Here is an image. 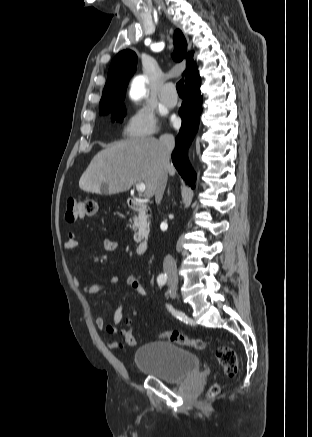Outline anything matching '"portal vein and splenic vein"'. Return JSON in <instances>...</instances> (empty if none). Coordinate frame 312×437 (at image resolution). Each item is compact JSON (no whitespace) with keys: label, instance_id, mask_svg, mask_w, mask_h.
I'll list each match as a JSON object with an SVG mask.
<instances>
[{"label":"portal vein and splenic vein","instance_id":"1","mask_svg":"<svg viewBox=\"0 0 312 437\" xmlns=\"http://www.w3.org/2000/svg\"><path fill=\"white\" fill-rule=\"evenodd\" d=\"M136 190L140 193L145 192L146 186L143 182H136Z\"/></svg>","mask_w":312,"mask_h":437}]
</instances>
